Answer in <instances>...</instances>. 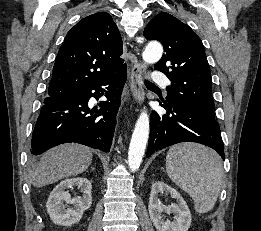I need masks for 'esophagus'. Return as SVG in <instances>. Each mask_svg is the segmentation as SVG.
<instances>
[{
    "mask_svg": "<svg viewBox=\"0 0 261 231\" xmlns=\"http://www.w3.org/2000/svg\"><path fill=\"white\" fill-rule=\"evenodd\" d=\"M138 40V38H136ZM145 71V65L141 61H136L130 71V90L134 100L142 104L144 100V89L142 84V76Z\"/></svg>",
    "mask_w": 261,
    "mask_h": 231,
    "instance_id": "obj_1",
    "label": "esophagus"
}]
</instances>
